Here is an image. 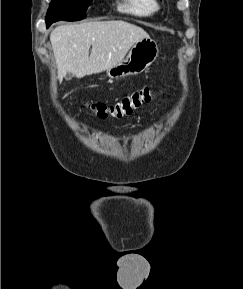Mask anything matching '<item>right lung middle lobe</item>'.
<instances>
[{"label": "right lung middle lobe", "instance_id": "1", "mask_svg": "<svg viewBox=\"0 0 243 289\" xmlns=\"http://www.w3.org/2000/svg\"><path fill=\"white\" fill-rule=\"evenodd\" d=\"M93 0H52L46 22L76 21L85 18V11Z\"/></svg>", "mask_w": 243, "mask_h": 289}]
</instances>
